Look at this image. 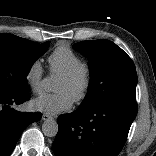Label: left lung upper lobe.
<instances>
[{
	"mask_svg": "<svg viewBox=\"0 0 156 156\" xmlns=\"http://www.w3.org/2000/svg\"><path fill=\"white\" fill-rule=\"evenodd\" d=\"M73 48L89 59L90 84L78 110L108 102L136 104L137 73L131 58L108 40L81 41Z\"/></svg>",
	"mask_w": 156,
	"mask_h": 156,
	"instance_id": "left-lung-upper-lobe-1",
	"label": "left lung upper lobe"
}]
</instances>
